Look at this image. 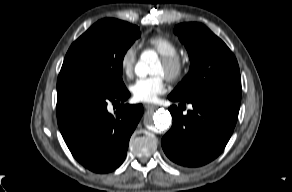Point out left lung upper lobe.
Returning <instances> with one entry per match:
<instances>
[{
    "label": "left lung upper lobe",
    "mask_w": 292,
    "mask_h": 192,
    "mask_svg": "<svg viewBox=\"0 0 292 192\" xmlns=\"http://www.w3.org/2000/svg\"><path fill=\"white\" fill-rule=\"evenodd\" d=\"M189 53V73L170 95L187 100L201 95L241 96L237 60L227 45L200 23H182L174 29Z\"/></svg>",
    "instance_id": "1"
}]
</instances>
